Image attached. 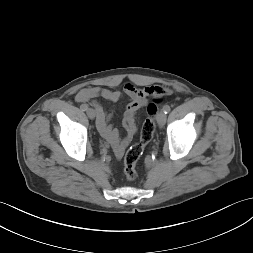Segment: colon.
I'll return each instance as SVG.
<instances>
[{"mask_svg": "<svg viewBox=\"0 0 253 253\" xmlns=\"http://www.w3.org/2000/svg\"><path fill=\"white\" fill-rule=\"evenodd\" d=\"M167 94V90L162 87L155 89V95L153 101L147 107L148 117L144 121L139 141L131 146L123 159L124 174L128 180H134L137 177L136 164L142 155L145 146L151 141L155 131L154 118L157 114L158 104L161 98Z\"/></svg>", "mask_w": 253, "mask_h": 253, "instance_id": "obj_1", "label": "colon"}]
</instances>
